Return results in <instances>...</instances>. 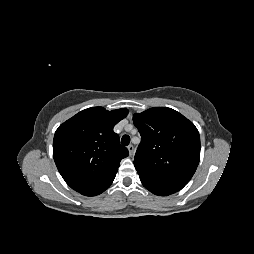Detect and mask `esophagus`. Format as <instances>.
I'll return each mask as SVG.
<instances>
[{"label": "esophagus", "instance_id": "1", "mask_svg": "<svg viewBox=\"0 0 254 254\" xmlns=\"http://www.w3.org/2000/svg\"><path fill=\"white\" fill-rule=\"evenodd\" d=\"M127 148L129 151V155L132 156L134 154V146L130 144Z\"/></svg>", "mask_w": 254, "mask_h": 254}]
</instances>
